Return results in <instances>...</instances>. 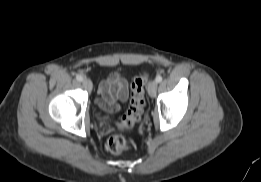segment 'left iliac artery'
<instances>
[{"mask_svg":"<svg viewBox=\"0 0 261 182\" xmlns=\"http://www.w3.org/2000/svg\"><path fill=\"white\" fill-rule=\"evenodd\" d=\"M162 79H163L162 76L158 75L155 80L157 83H160L162 81Z\"/></svg>","mask_w":261,"mask_h":182,"instance_id":"obj_1","label":"left iliac artery"}]
</instances>
